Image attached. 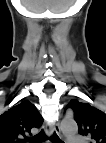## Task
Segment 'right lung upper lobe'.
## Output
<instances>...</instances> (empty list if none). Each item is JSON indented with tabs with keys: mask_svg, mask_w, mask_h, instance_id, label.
Returning a JSON list of instances; mask_svg holds the SVG:
<instances>
[{
	"mask_svg": "<svg viewBox=\"0 0 106 143\" xmlns=\"http://www.w3.org/2000/svg\"><path fill=\"white\" fill-rule=\"evenodd\" d=\"M43 118L29 101H23L0 115V143H21L32 128H39Z\"/></svg>",
	"mask_w": 106,
	"mask_h": 143,
	"instance_id": "obj_1",
	"label": "right lung upper lobe"
}]
</instances>
